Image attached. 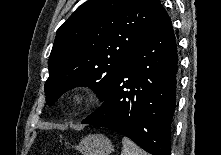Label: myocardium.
Here are the masks:
<instances>
[{"instance_id":"myocardium-1","label":"myocardium","mask_w":221,"mask_h":155,"mask_svg":"<svg viewBox=\"0 0 221 155\" xmlns=\"http://www.w3.org/2000/svg\"><path fill=\"white\" fill-rule=\"evenodd\" d=\"M91 99V92L88 88L77 87L69 91L65 97V104L70 109H79L85 106Z\"/></svg>"}]
</instances>
